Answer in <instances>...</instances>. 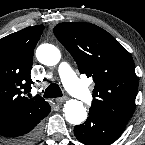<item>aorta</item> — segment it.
I'll return each instance as SVG.
<instances>
[{
    "mask_svg": "<svg viewBox=\"0 0 145 145\" xmlns=\"http://www.w3.org/2000/svg\"><path fill=\"white\" fill-rule=\"evenodd\" d=\"M36 58L44 65L54 66L59 63L61 53L56 46L44 43L39 45L36 49ZM63 112L65 114L66 121L73 125H79L87 118L85 106L82 102L75 99L66 101Z\"/></svg>",
    "mask_w": 145,
    "mask_h": 145,
    "instance_id": "1",
    "label": "aorta"
}]
</instances>
